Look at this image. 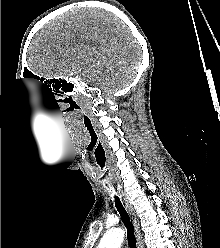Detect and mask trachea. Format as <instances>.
Returning <instances> with one entry per match:
<instances>
[{"label": "trachea", "instance_id": "3493384b", "mask_svg": "<svg viewBox=\"0 0 220 248\" xmlns=\"http://www.w3.org/2000/svg\"><path fill=\"white\" fill-rule=\"evenodd\" d=\"M114 199H115V206L117 208V211L119 212L123 224L127 229L128 245L130 248H136V238H135L133 226L130 221V217L127 211L125 210L124 206L122 205L119 197L115 195Z\"/></svg>", "mask_w": 220, "mask_h": 248}]
</instances>
